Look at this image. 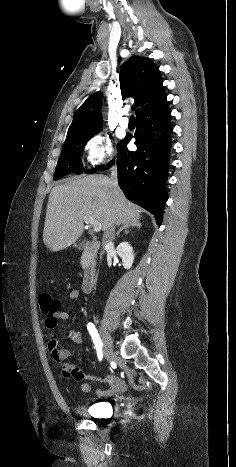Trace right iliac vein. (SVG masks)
<instances>
[{"mask_svg": "<svg viewBox=\"0 0 236 467\" xmlns=\"http://www.w3.org/2000/svg\"><path fill=\"white\" fill-rule=\"evenodd\" d=\"M100 333H101L102 341L104 344V356L106 360L109 361L113 357L112 339L109 333L103 327V325H100Z\"/></svg>", "mask_w": 236, "mask_h": 467, "instance_id": "1", "label": "right iliac vein"}]
</instances>
